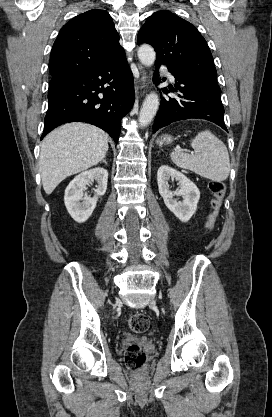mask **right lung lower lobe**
<instances>
[{"label":"right lung lower lobe","mask_w":272,"mask_h":417,"mask_svg":"<svg viewBox=\"0 0 272 417\" xmlns=\"http://www.w3.org/2000/svg\"><path fill=\"white\" fill-rule=\"evenodd\" d=\"M135 100L133 74L124 50L97 68L52 77L43 139L66 122H87L105 130L117 143L121 119Z\"/></svg>","instance_id":"obj_1"}]
</instances>
